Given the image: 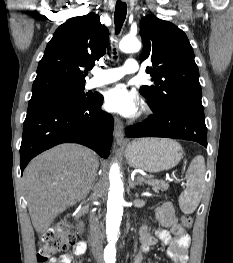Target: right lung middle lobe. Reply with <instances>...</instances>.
Masks as SVG:
<instances>
[{"label":"right lung middle lobe","mask_w":233,"mask_h":263,"mask_svg":"<svg viewBox=\"0 0 233 263\" xmlns=\"http://www.w3.org/2000/svg\"><path fill=\"white\" fill-rule=\"evenodd\" d=\"M84 86L32 96L29 101L28 111L57 105L76 106L88 103L93 96L89 97L83 92Z\"/></svg>","instance_id":"dd1d6c3e"}]
</instances>
